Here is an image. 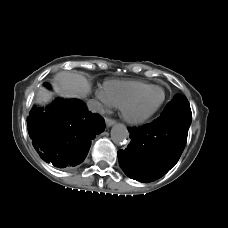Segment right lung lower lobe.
I'll return each mask as SVG.
<instances>
[{"label":"right lung lower lobe","instance_id":"1","mask_svg":"<svg viewBox=\"0 0 228 228\" xmlns=\"http://www.w3.org/2000/svg\"><path fill=\"white\" fill-rule=\"evenodd\" d=\"M27 126L40 157L64 168L85 159L91 140L105 129V121L99 114L88 111L81 100L60 99L45 108L33 107Z\"/></svg>","mask_w":228,"mask_h":228}]
</instances>
